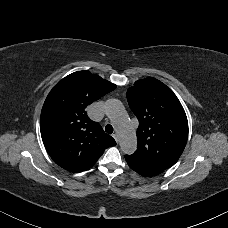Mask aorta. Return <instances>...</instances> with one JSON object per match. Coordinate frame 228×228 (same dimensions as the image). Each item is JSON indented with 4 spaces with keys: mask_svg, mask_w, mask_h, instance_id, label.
Returning a JSON list of instances; mask_svg holds the SVG:
<instances>
[{
    "mask_svg": "<svg viewBox=\"0 0 228 228\" xmlns=\"http://www.w3.org/2000/svg\"><path fill=\"white\" fill-rule=\"evenodd\" d=\"M104 106L106 115L116 127L121 150L128 155L133 154L137 147L136 132L130 124L124 106L117 99L107 100Z\"/></svg>",
    "mask_w": 228,
    "mask_h": 228,
    "instance_id": "obj_1",
    "label": "aorta"
}]
</instances>
